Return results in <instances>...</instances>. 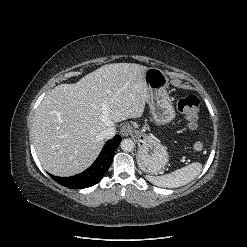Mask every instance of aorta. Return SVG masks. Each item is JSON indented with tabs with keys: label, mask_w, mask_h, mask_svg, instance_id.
I'll return each instance as SVG.
<instances>
[{
	"label": "aorta",
	"mask_w": 247,
	"mask_h": 247,
	"mask_svg": "<svg viewBox=\"0 0 247 247\" xmlns=\"http://www.w3.org/2000/svg\"><path fill=\"white\" fill-rule=\"evenodd\" d=\"M120 147L125 152H131L134 149L135 144L131 139L126 138L121 141Z\"/></svg>",
	"instance_id": "762f6f07"
}]
</instances>
